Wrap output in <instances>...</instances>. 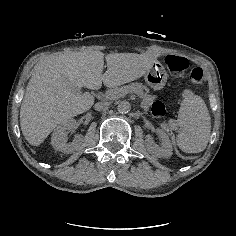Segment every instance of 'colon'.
Returning a JSON list of instances; mask_svg holds the SVG:
<instances>
[{
    "instance_id": "obj_1",
    "label": "colon",
    "mask_w": 236,
    "mask_h": 236,
    "mask_svg": "<svg viewBox=\"0 0 236 236\" xmlns=\"http://www.w3.org/2000/svg\"><path fill=\"white\" fill-rule=\"evenodd\" d=\"M165 64L168 70L174 74H182L189 67V61L183 56L169 54L165 57ZM189 79L192 83L201 84L204 82V72L201 67L194 66L190 73ZM151 113L156 118H163L166 115V106L161 101H155L152 105Z\"/></svg>"
}]
</instances>
